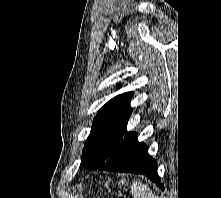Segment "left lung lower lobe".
Masks as SVG:
<instances>
[{"label":"left lung lower lobe","mask_w":221,"mask_h":198,"mask_svg":"<svg viewBox=\"0 0 221 198\" xmlns=\"http://www.w3.org/2000/svg\"><path fill=\"white\" fill-rule=\"evenodd\" d=\"M99 170L144 174L164 189V185H160L156 160L148 154L147 146L138 142L137 133L128 138Z\"/></svg>","instance_id":"obj_1"}]
</instances>
